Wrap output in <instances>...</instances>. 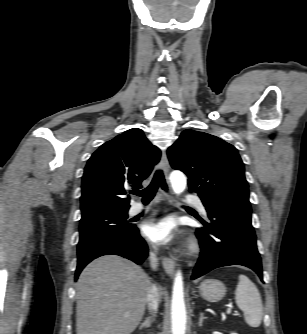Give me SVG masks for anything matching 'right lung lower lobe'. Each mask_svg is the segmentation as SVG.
<instances>
[{"instance_id": "obj_1", "label": "right lung lower lobe", "mask_w": 307, "mask_h": 334, "mask_svg": "<svg viewBox=\"0 0 307 334\" xmlns=\"http://www.w3.org/2000/svg\"><path fill=\"white\" fill-rule=\"evenodd\" d=\"M109 254L119 255L141 264L148 255V247L140 236L138 229L124 240L107 241L94 245L78 255L75 279L78 278L82 269L93 259Z\"/></svg>"}]
</instances>
